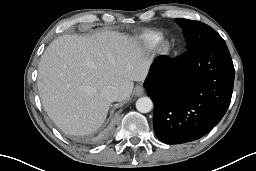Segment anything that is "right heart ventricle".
<instances>
[{
	"label": "right heart ventricle",
	"mask_w": 256,
	"mask_h": 171,
	"mask_svg": "<svg viewBox=\"0 0 256 171\" xmlns=\"http://www.w3.org/2000/svg\"><path fill=\"white\" fill-rule=\"evenodd\" d=\"M162 33L156 30H150L143 33L140 37L143 46L149 50H153L162 40Z\"/></svg>",
	"instance_id": "e07e8e85"
}]
</instances>
